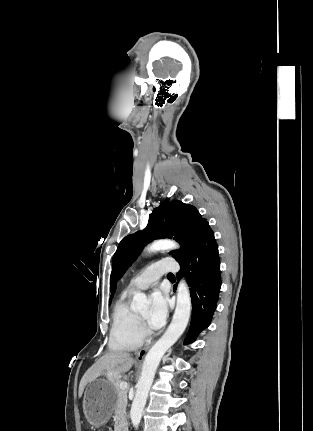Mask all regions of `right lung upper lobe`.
<instances>
[{
    "instance_id": "1",
    "label": "right lung upper lobe",
    "mask_w": 313,
    "mask_h": 431,
    "mask_svg": "<svg viewBox=\"0 0 313 431\" xmlns=\"http://www.w3.org/2000/svg\"><path fill=\"white\" fill-rule=\"evenodd\" d=\"M111 290H112V291H115V288H113V286H111ZM112 297H113V293L111 294V298H112ZM111 298H110V301H109L110 303H111Z\"/></svg>"
}]
</instances>
